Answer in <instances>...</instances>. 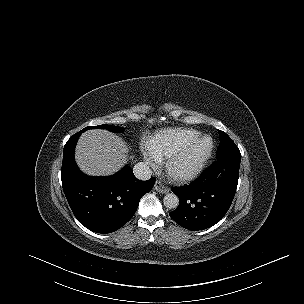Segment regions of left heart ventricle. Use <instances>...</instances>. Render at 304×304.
<instances>
[{
    "instance_id": "obj_1",
    "label": "left heart ventricle",
    "mask_w": 304,
    "mask_h": 304,
    "mask_svg": "<svg viewBox=\"0 0 304 304\" xmlns=\"http://www.w3.org/2000/svg\"><path fill=\"white\" fill-rule=\"evenodd\" d=\"M209 141L205 140L199 143L194 149L183 159L180 168L187 169L194 166L198 160L206 153Z\"/></svg>"
}]
</instances>
